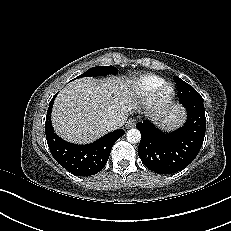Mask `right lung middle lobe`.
I'll use <instances>...</instances> for the list:
<instances>
[{
	"label": "right lung middle lobe",
	"instance_id": "right-lung-middle-lobe-1",
	"mask_svg": "<svg viewBox=\"0 0 231 231\" xmlns=\"http://www.w3.org/2000/svg\"><path fill=\"white\" fill-rule=\"evenodd\" d=\"M117 72L118 71L114 66H98V67H92L88 69L85 73L78 76V78L107 75V74H116Z\"/></svg>",
	"mask_w": 231,
	"mask_h": 231
}]
</instances>
